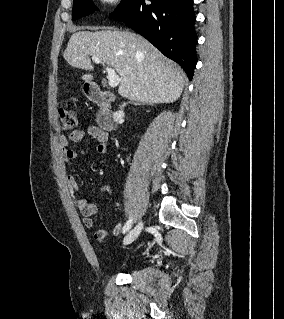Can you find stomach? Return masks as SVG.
Here are the masks:
<instances>
[{
	"label": "stomach",
	"instance_id": "obj_1",
	"mask_svg": "<svg viewBox=\"0 0 284 319\" xmlns=\"http://www.w3.org/2000/svg\"><path fill=\"white\" fill-rule=\"evenodd\" d=\"M88 89H89V87H88V85H86L85 88L83 89V90H84V93H87V92H88Z\"/></svg>",
	"mask_w": 284,
	"mask_h": 319
}]
</instances>
